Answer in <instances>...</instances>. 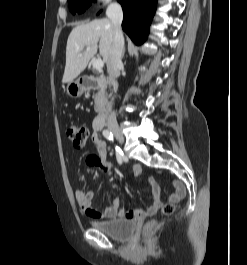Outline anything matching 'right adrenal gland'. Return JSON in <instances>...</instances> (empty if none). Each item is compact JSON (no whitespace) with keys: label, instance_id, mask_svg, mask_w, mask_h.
<instances>
[{"label":"right adrenal gland","instance_id":"2a0ac1e0","mask_svg":"<svg viewBox=\"0 0 247 265\" xmlns=\"http://www.w3.org/2000/svg\"><path fill=\"white\" fill-rule=\"evenodd\" d=\"M124 54H125V49H124L123 52H122V56H121V58L124 57Z\"/></svg>","mask_w":247,"mask_h":265}]
</instances>
